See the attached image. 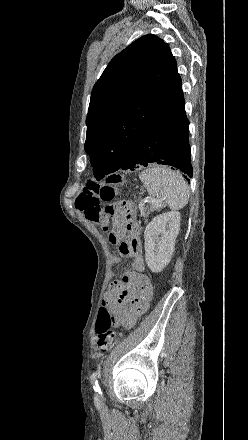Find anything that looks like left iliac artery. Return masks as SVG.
Listing matches in <instances>:
<instances>
[{
    "label": "left iliac artery",
    "mask_w": 248,
    "mask_h": 440,
    "mask_svg": "<svg viewBox=\"0 0 248 440\" xmlns=\"http://www.w3.org/2000/svg\"><path fill=\"white\" fill-rule=\"evenodd\" d=\"M100 374H101V367H98V369L95 372H93L90 377L93 389L98 394H102L101 389L98 384V380H97L100 377Z\"/></svg>",
    "instance_id": "44dca946"
}]
</instances>
